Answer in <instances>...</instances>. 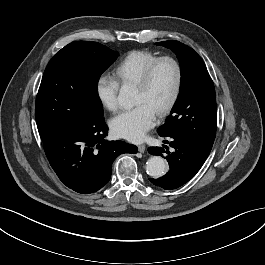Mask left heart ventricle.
<instances>
[{
    "label": "left heart ventricle",
    "mask_w": 265,
    "mask_h": 265,
    "mask_svg": "<svg viewBox=\"0 0 265 265\" xmlns=\"http://www.w3.org/2000/svg\"><path fill=\"white\" fill-rule=\"evenodd\" d=\"M176 71L172 63L162 62L154 71L147 90L136 88L134 105L145 104L157 113L169 101L175 86Z\"/></svg>",
    "instance_id": "obj_1"
}]
</instances>
